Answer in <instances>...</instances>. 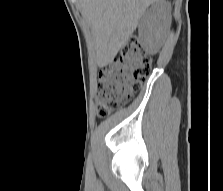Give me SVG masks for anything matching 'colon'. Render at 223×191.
I'll list each match as a JSON object with an SVG mask.
<instances>
[{"label":"colon","instance_id":"obj_1","mask_svg":"<svg viewBox=\"0 0 223 191\" xmlns=\"http://www.w3.org/2000/svg\"><path fill=\"white\" fill-rule=\"evenodd\" d=\"M152 58L136 40L124 46L120 57L103 69L96 89L97 115L100 118L125 105L149 77Z\"/></svg>","mask_w":223,"mask_h":191}]
</instances>
